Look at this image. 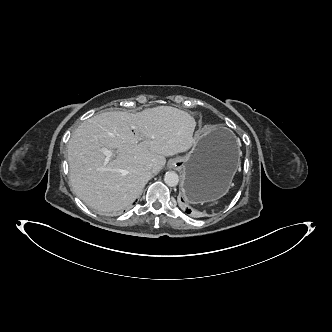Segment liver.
Segmentation results:
<instances>
[{"label":"liver","instance_id":"6515ba94","mask_svg":"<svg viewBox=\"0 0 332 332\" xmlns=\"http://www.w3.org/2000/svg\"><path fill=\"white\" fill-rule=\"evenodd\" d=\"M187 112L158 106L132 114L110 111L81 123L68 142L73 191L101 212L125 209L166 157L188 151L201 137ZM110 150L108 158L104 150ZM152 163V171L146 165Z\"/></svg>","mask_w":332,"mask_h":332}]
</instances>
